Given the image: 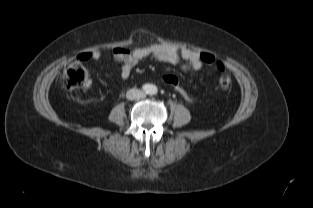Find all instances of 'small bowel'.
I'll return each instance as SVG.
<instances>
[{
  "label": "small bowel",
  "mask_w": 313,
  "mask_h": 208,
  "mask_svg": "<svg viewBox=\"0 0 313 208\" xmlns=\"http://www.w3.org/2000/svg\"><path fill=\"white\" fill-rule=\"evenodd\" d=\"M83 60H99L102 53L98 50L86 52L80 55ZM115 61L121 64V77L127 79L132 69L143 59L153 57L158 61L169 64H177L180 60L185 63L183 69L198 71L203 67V62L200 59V53L183 48L178 49L172 45L155 43L149 46L139 47L135 49H127L117 47L113 50ZM86 87H89V83Z\"/></svg>",
  "instance_id": "small-bowel-1"
}]
</instances>
